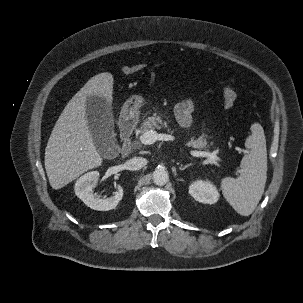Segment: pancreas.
Here are the masks:
<instances>
[{
	"label": "pancreas",
	"mask_w": 303,
	"mask_h": 303,
	"mask_svg": "<svg viewBox=\"0 0 303 303\" xmlns=\"http://www.w3.org/2000/svg\"><path fill=\"white\" fill-rule=\"evenodd\" d=\"M167 126L168 123L166 121H163L162 118L155 113L153 114V116L148 117L143 121L139 133H145L147 131L155 129L160 130L162 127ZM188 145L196 149H206L208 146V142L203 136H200L197 139L192 137L191 140L188 142Z\"/></svg>",
	"instance_id": "obj_1"
}]
</instances>
